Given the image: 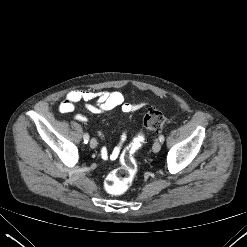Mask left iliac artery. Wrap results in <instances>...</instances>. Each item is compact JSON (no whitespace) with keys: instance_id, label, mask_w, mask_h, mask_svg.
<instances>
[{"instance_id":"1","label":"left iliac artery","mask_w":247,"mask_h":247,"mask_svg":"<svg viewBox=\"0 0 247 247\" xmlns=\"http://www.w3.org/2000/svg\"><path fill=\"white\" fill-rule=\"evenodd\" d=\"M164 140H165L164 136H163V135H160V136H159V141H160V142H164Z\"/></svg>"}]
</instances>
